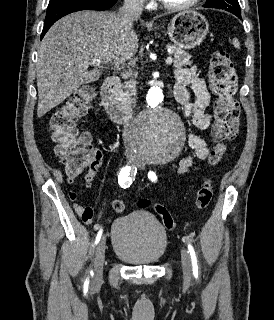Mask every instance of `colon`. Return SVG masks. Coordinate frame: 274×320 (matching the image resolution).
I'll use <instances>...</instances> for the list:
<instances>
[{
	"label": "colon",
	"mask_w": 274,
	"mask_h": 320,
	"mask_svg": "<svg viewBox=\"0 0 274 320\" xmlns=\"http://www.w3.org/2000/svg\"><path fill=\"white\" fill-rule=\"evenodd\" d=\"M209 80L212 91L217 97L215 116L212 125V137L214 141L213 152L210 160L217 164L227 150L229 141L238 133L239 106L235 99L237 91V73L228 53L218 51L213 53L209 66ZM87 90L69 97L58 106L51 114L49 128L52 131V141L55 143V152L65 166L68 181L86 167L94 156L92 137L87 132H80L76 128V122L85 107ZM69 196H77L74 191ZM213 189L209 181H204L196 193V206L205 208L211 202ZM150 200L141 199L137 205L140 209L150 207ZM113 209L117 213L125 211V204L116 200ZM153 210L161 217L165 227L173 230L175 221L169 210L159 204L153 206Z\"/></svg>",
	"instance_id": "1"
}]
</instances>
